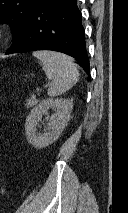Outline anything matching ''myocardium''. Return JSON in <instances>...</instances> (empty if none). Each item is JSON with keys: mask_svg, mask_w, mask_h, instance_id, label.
Returning <instances> with one entry per match:
<instances>
[{"mask_svg": "<svg viewBox=\"0 0 128 213\" xmlns=\"http://www.w3.org/2000/svg\"><path fill=\"white\" fill-rule=\"evenodd\" d=\"M6 38V30L4 26L0 24V43L3 42Z\"/></svg>", "mask_w": 128, "mask_h": 213, "instance_id": "myocardium-1", "label": "myocardium"}]
</instances>
